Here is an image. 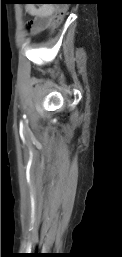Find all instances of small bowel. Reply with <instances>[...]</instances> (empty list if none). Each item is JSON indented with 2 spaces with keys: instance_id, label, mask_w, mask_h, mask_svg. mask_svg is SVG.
Instances as JSON below:
<instances>
[{
  "instance_id": "1",
  "label": "small bowel",
  "mask_w": 122,
  "mask_h": 257,
  "mask_svg": "<svg viewBox=\"0 0 122 257\" xmlns=\"http://www.w3.org/2000/svg\"><path fill=\"white\" fill-rule=\"evenodd\" d=\"M27 11L34 16V19L29 24L34 34L48 29L56 15L55 8L51 5L28 6Z\"/></svg>"
}]
</instances>
